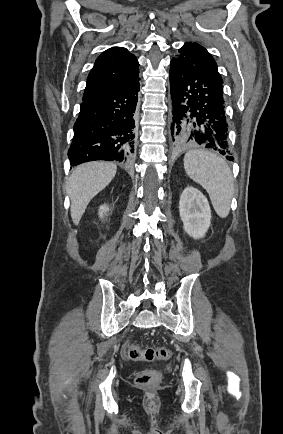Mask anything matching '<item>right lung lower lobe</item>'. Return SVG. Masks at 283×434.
Wrapping results in <instances>:
<instances>
[{
	"mask_svg": "<svg viewBox=\"0 0 283 434\" xmlns=\"http://www.w3.org/2000/svg\"><path fill=\"white\" fill-rule=\"evenodd\" d=\"M139 77L126 87L83 100L68 156L72 165L88 161L128 162L134 152V112Z\"/></svg>",
	"mask_w": 283,
	"mask_h": 434,
	"instance_id": "1",
	"label": "right lung lower lobe"
}]
</instances>
